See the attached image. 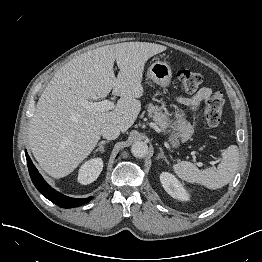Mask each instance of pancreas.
<instances>
[{"label": "pancreas", "instance_id": "obj_1", "mask_svg": "<svg viewBox=\"0 0 262 262\" xmlns=\"http://www.w3.org/2000/svg\"><path fill=\"white\" fill-rule=\"evenodd\" d=\"M148 114L150 117L153 118L154 122L162 129L164 130L168 126L169 118L165 113L161 111V109L157 106H154L153 104L148 105ZM187 128H190L189 124H186Z\"/></svg>", "mask_w": 262, "mask_h": 262}]
</instances>
